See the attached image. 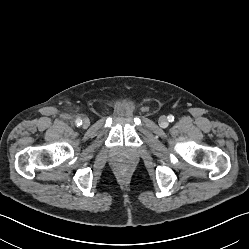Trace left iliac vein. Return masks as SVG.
Masks as SVG:
<instances>
[{"label": "left iliac vein", "instance_id": "left-iliac-vein-1", "mask_svg": "<svg viewBox=\"0 0 249 249\" xmlns=\"http://www.w3.org/2000/svg\"><path fill=\"white\" fill-rule=\"evenodd\" d=\"M168 119L166 116H161L159 118V125L162 127V128H166L168 126Z\"/></svg>", "mask_w": 249, "mask_h": 249}]
</instances>
